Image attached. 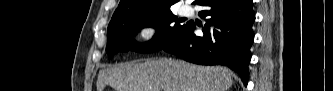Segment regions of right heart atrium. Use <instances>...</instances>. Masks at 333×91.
<instances>
[{"instance_id":"1","label":"right heart atrium","mask_w":333,"mask_h":91,"mask_svg":"<svg viewBox=\"0 0 333 91\" xmlns=\"http://www.w3.org/2000/svg\"><path fill=\"white\" fill-rule=\"evenodd\" d=\"M137 36L143 45L155 46L162 38L161 25L157 22L143 23L137 29Z\"/></svg>"}]
</instances>
